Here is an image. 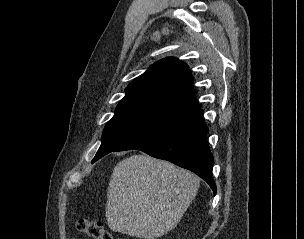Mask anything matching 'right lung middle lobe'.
Listing matches in <instances>:
<instances>
[{"label": "right lung middle lobe", "instance_id": "obj_1", "mask_svg": "<svg viewBox=\"0 0 304 239\" xmlns=\"http://www.w3.org/2000/svg\"><path fill=\"white\" fill-rule=\"evenodd\" d=\"M167 121L165 117L142 111L116 112L104 128L101 146L92 163Z\"/></svg>", "mask_w": 304, "mask_h": 239}]
</instances>
